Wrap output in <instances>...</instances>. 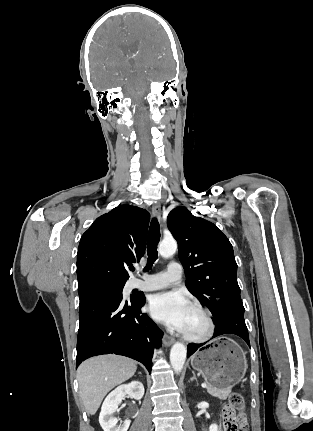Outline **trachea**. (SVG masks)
Wrapping results in <instances>:
<instances>
[{
	"instance_id": "1",
	"label": "trachea",
	"mask_w": 313,
	"mask_h": 431,
	"mask_svg": "<svg viewBox=\"0 0 313 431\" xmlns=\"http://www.w3.org/2000/svg\"><path fill=\"white\" fill-rule=\"evenodd\" d=\"M159 240H160L159 222L156 218H153L150 224L148 241H147L148 261H147L146 267L144 268V271L150 270L152 265L157 259V255H158L157 246H158Z\"/></svg>"
}]
</instances>
